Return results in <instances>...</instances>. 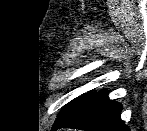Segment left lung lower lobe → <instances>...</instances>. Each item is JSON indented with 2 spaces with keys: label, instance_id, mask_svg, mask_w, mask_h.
Instances as JSON below:
<instances>
[{
  "label": "left lung lower lobe",
  "instance_id": "obj_1",
  "mask_svg": "<svg viewBox=\"0 0 147 131\" xmlns=\"http://www.w3.org/2000/svg\"><path fill=\"white\" fill-rule=\"evenodd\" d=\"M122 107L114 100H110L107 92L100 91L92 97L71 117L53 127L76 128L86 131H129L120 119Z\"/></svg>",
  "mask_w": 147,
  "mask_h": 131
}]
</instances>
